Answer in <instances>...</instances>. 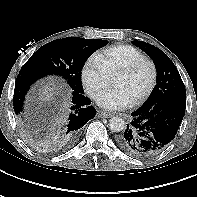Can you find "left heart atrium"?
Segmentation results:
<instances>
[{
  "label": "left heart atrium",
  "instance_id": "obj_1",
  "mask_svg": "<svg viewBox=\"0 0 197 197\" xmlns=\"http://www.w3.org/2000/svg\"><path fill=\"white\" fill-rule=\"evenodd\" d=\"M132 98L127 91L121 87H112L102 91L97 96V102L100 106L110 110H119L129 106Z\"/></svg>",
  "mask_w": 197,
  "mask_h": 197
}]
</instances>
